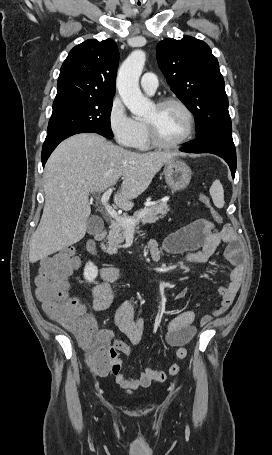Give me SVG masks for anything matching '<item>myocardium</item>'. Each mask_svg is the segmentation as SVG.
Masks as SVG:
<instances>
[{
	"instance_id": "1",
	"label": "myocardium",
	"mask_w": 272,
	"mask_h": 455,
	"mask_svg": "<svg viewBox=\"0 0 272 455\" xmlns=\"http://www.w3.org/2000/svg\"><path fill=\"white\" fill-rule=\"evenodd\" d=\"M168 105H175L179 107L185 114L187 118V131L185 135L178 141L174 143H166L163 142L157 135V132L155 130V127L152 123L145 121V126L147 128V133H148V138L154 147L160 148V149H177L186 144L194 135L195 132V117L191 109L181 100L173 97H165L160 99L155 106L157 108H163Z\"/></svg>"
}]
</instances>
